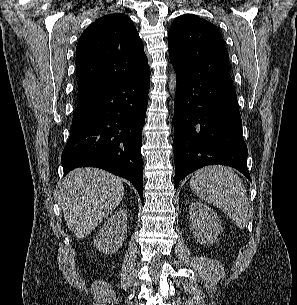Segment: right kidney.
Returning <instances> with one entry per match:
<instances>
[{
	"label": "right kidney",
	"instance_id": "obj_1",
	"mask_svg": "<svg viewBox=\"0 0 297 305\" xmlns=\"http://www.w3.org/2000/svg\"><path fill=\"white\" fill-rule=\"evenodd\" d=\"M127 233V210L119 209L104 223L94 240V246L102 253H114L121 246Z\"/></svg>",
	"mask_w": 297,
	"mask_h": 305
}]
</instances>
